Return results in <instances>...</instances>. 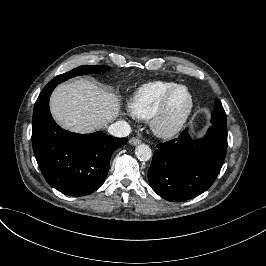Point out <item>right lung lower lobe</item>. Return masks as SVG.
I'll return each instance as SVG.
<instances>
[{"label": "right lung lower lobe", "instance_id": "right-lung-lower-lobe-1", "mask_svg": "<svg viewBox=\"0 0 266 266\" xmlns=\"http://www.w3.org/2000/svg\"><path fill=\"white\" fill-rule=\"evenodd\" d=\"M59 82H49L33 111L32 145L41 172L53 188L69 196H84L104 182L112 153L127 143L101 131L76 134L59 127L49 110V98Z\"/></svg>", "mask_w": 266, "mask_h": 266}]
</instances>
